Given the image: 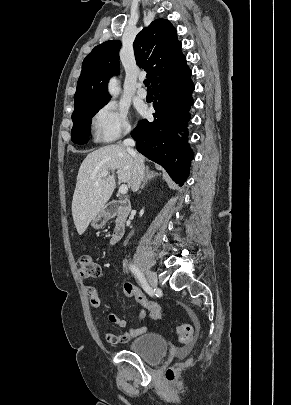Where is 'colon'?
I'll return each instance as SVG.
<instances>
[{"label": "colon", "instance_id": "1", "mask_svg": "<svg viewBox=\"0 0 291 405\" xmlns=\"http://www.w3.org/2000/svg\"><path fill=\"white\" fill-rule=\"evenodd\" d=\"M79 274L84 278H97L101 275V268L97 261L89 254H83L78 260ZM91 294H95L96 291L93 288L89 289ZM124 292L128 297H133L138 301L146 310L149 311L151 317L155 320L162 318V310L158 303L149 300L143 295V293L131 283H126L124 286ZM176 333L179 340L182 343H190L194 339V329L189 324H180L176 327ZM166 379L171 382L176 378V369L171 367L167 369L165 373Z\"/></svg>", "mask_w": 291, "mask_h": 405}]
</instances>
